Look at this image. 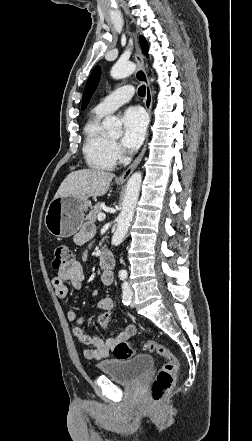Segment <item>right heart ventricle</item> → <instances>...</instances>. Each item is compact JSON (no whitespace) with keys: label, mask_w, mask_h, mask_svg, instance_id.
<instances>
[{"label":"right heart ventricle","mask_w":252,"mask_h":441,"mask_svg":"<svg viewBox=\"0 0 252 441\" xmlns=\"http://www.w3.org/2000/svg\"><path fill=\"white\" fill-rule=\"evenodd\" d=\"M106 114L94 110L83 128L82 151L87 165L94 170L110 171L116 165L112 142L102 129Z\"/></svg>","instance_id":"e07e8e85"}]
</instances>
